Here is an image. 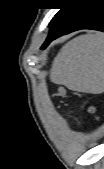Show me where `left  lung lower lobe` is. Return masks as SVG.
Wrapping results in <instances>:
<instances>
[{"instance_id": "1", "label": "left lung lower lobe", "mask_w": 104, "mask_h": 169, "mask_svg": "<svg viewBox=\"0 0 104 169\" xmlns=\"http://www.w3.org/2000/svg\"><path fill=\"white\" fill-rule=\"evenodd\" d=\"M80 29L104 32V8L100 6L99 2L93 0L76 1L59 26L49 33L41 49H45L52 40Z\"/></svg>"}]
</instances>
